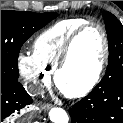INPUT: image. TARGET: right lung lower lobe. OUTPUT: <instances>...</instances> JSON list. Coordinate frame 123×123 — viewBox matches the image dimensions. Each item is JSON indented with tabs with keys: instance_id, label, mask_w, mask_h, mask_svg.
<instances>
[{
	"instance_id": "98d812e1",
	"label": "right lung lower lobe",
	"mask_w": 123,
	"mask_h": 123,
	"mask_svg": "<svg viewBox=\"0 0 123 123\" xmlns=\"http://www.w3.org/2000/svg\"><path fill=\"white\" fill-rule=\"evenodd\" d=\"M31 103L32 98L21 83L1 81V122Z\"/></svg>"
}]
</instances>
